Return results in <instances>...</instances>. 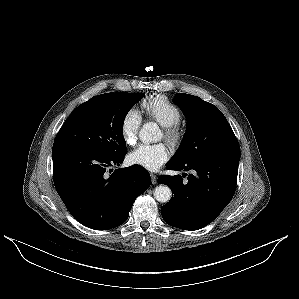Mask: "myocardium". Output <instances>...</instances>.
Returning a JSON list of instances; mask_svg holds the SVG:
<instances>
[{"instance_id": "f54148a6", "label": "myocardium", "mask_w": 299, "mask_h": 299, "mask_svg": "<svg viewBox=\"0 0 299 299\" xmlns=\"http://www.w3.org/2000/svg\"><path fill=\"white\" fill-rule=\"evenodd\" d=\"M163 132L165 139L171 144H177L183 136V130L179 124L163 126Z\"/></svg>"}]
</instances>
